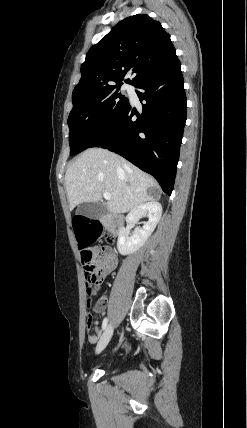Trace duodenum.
Returning a JSON list of instances; mask_svg holds the SVG:
<instances>
[{"mask_svg":"<svg viewBox=\"0 0 247 428\" xmlns=\"http://www.w3.org/2000/svg\"><path fill=\"white\" fill-rule=\"evenodd\" d=\"M104 222L108 229L114 234L118 235L123 226V219L116 214H108L104 217Z\"/></svg>","mask_w":247,"mask_h":428,"instance_id":"1","label":"duodenum"}]
</instances>
